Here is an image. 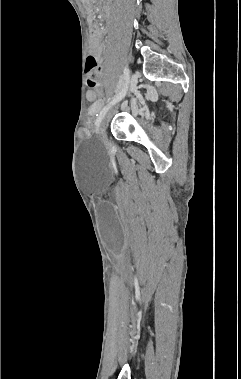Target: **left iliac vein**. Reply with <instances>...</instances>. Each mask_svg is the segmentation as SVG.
<instances>
[{"mask_svg": "<svg viewBox=\"0 0 241 379\" xmlns=\"http://www.w3.org/2000/svg\"><path fill=\"white\" fill-rule=\"evenodd\" d=\"M137 80H138V74L135 72V73H133L131 75L130 81L128 83V85H129L128 94L131 93V92H133L135 90V87H136V84H137ZM124 97H125V95L122 98H124ZM101 134H102V137H103L104 144L107 145L108 141L106 139V135H105L104 129H101Z\"/></svg>", "mask_w": 241, "mask_h": 379, "instance_id": "1", "label": "left iliac vein"}]
</instances>
